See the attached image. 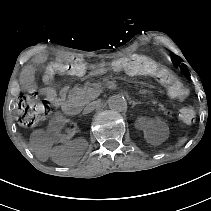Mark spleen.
<instances>
[{
	"instance_id": "3e777b00",
	"label": "spleen",
	"mask_w": 211,
	"mask_h": 211,
	"mask_svg": "<svg viewBox=\"0 0 211 211\" xmlns=\"http://www.w3.org/2000/svg\"><path fill=\"white\" fill-rule=\"evenodd\" d=\"M186 138L185 137H183V138H181L179 141H178V143H177V145L176 146H182L185 142H186Z\"/></svg>"
}]
</instances>
